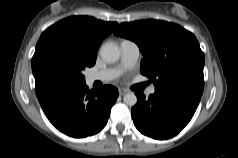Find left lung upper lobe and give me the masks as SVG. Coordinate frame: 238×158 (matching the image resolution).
Returning a JSON list of instances; mask_svg holds the SVG:
<instances>
[{
    "instance_id": "1",
    "label": "left lung upper lobe",
    "mask_w": 238,
    "mask_h": 158,
    "mask_svg": "<svg viewBox=\"0 0 238 158\" xmlns=\"http://www.w3.org/2000/svg\"><path fill=\"white\" fill-rule=\"evenodd\" d=\"M114 34L134 41L144 58L140 72L155 88L203 78L204 53L195 36L181 26L159 20L121 23Z\"/></svg>"
}]
</instances>
